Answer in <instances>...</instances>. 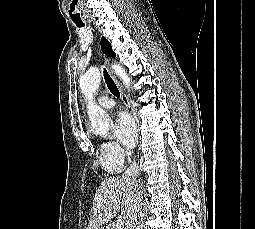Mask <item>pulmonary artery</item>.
I'll return each instance as SVG.
<instances>
[{"label":"pulmonary artery","mask_w":255,"mask_h":229,"mask_svg":"<svg viewBox=\"0 0 255 229\" xmlns=\"http://www.w3.org/2000/svg\"><path fill=\"white\" fill-rule=\"evenodd\" d=\"M98 104L100 107L105 108V109H111L114 107L115 102L112 98L107 97V96H100L98 98Z\"/></svg>","instance_id":"pulmonary-artery-1"}]
</instances>
